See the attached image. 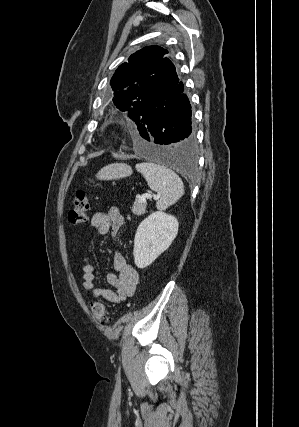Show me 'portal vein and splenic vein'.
I'll use <instances>...</instances> for the list:
<instances>
[{"label": "portal vein and splenic vein", "mask_w": 299, "mask_h": 427, "mask_svg": "<svg viewBox=\"0 0 299 427\" xmlns=\"http://www.w3.org/2000/svg\"><path fill=\"white\" fill-rule=\"evenodd\" d=\"M151 198H153L154 200H158L160 198V195L158 194V195L152 196L151 194H145L140 198V200L142 202H146V199H151Z\"/></svg>", "instance_id": "1"}]
</instances>
